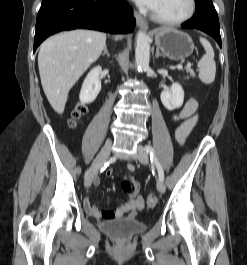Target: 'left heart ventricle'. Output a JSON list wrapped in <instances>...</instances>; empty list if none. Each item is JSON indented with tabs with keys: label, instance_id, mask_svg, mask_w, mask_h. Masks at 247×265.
<instances>
[{
	"label": "left heart ventricle",
	"instance_id": "left-heart-ventricle-1",
	"mask_svg": "<svg viewBox=\"0 0 247 265\" xmlns=\"http://www.w3.org/2000/svg\"><path fill=\"white\" fill-rule=\"evenodd\" d=\"M189 0H157L152 11L166 18H177L185 14Z\"/></svg>",
	"mask_w": 247,
	"mask_h": 265
}]
</instances>
